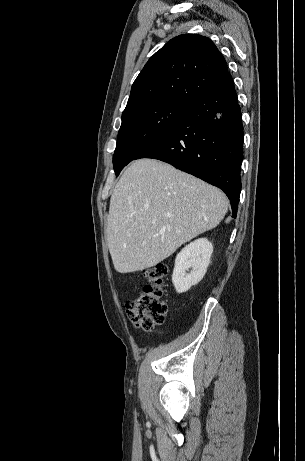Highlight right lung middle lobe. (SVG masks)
I'll use <instances>...</instances> for the list:
<instances>
[{
	"label": "right lung middle lobe",
	"instance_id": "obj_1",
	"mask_svg": "<svg viewBox=\"0 0 305 461\" xmlns=\"http://www.w3.org/2000/svg\"><path fill=\"white\" fill-rule=\"evenodd\" d=\"M189 104L162 102L122 116L113 156L116 176L132 160L164 137L184 116Z\"/></svg>",
	"mask_w": 305,
	"mask_h": 461
}]
</instances>
